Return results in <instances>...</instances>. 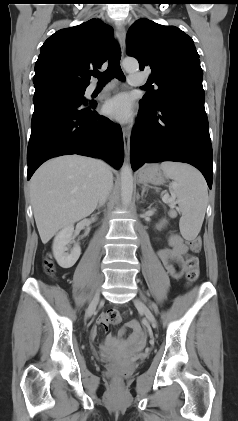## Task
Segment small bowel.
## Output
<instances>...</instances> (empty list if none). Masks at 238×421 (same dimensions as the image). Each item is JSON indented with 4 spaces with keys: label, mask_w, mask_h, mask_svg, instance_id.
I'll list each match as a JSON object with an SVG mask.
<instances>
[{
    "label": "small bowel",
    "mask_w": 238,
    "mask_h": 421,
    "mask_svg": "<svg viewBox=\"0 0 238 421\" xmlns=\"http://www.w3.org/2000/svg\"><path fill=\"white\" fill-rule=\"evenodd\" d=\"M187 252V247L183 243L182 238L178 234H172L169 238V247L160 249L158 256L163 263L166 270L173 276L179 277L182 273L183 257ZM117 315L116 323L111 321V315ZM121 320L120 315L116 309H110L105 313L98 316L96 325L92 330V335L96 336L99 328L107 329L110 324H117ZM127 327L132 330L130 340L135 343H140L142 340L141 327L135 320L130 321ZM115 342L113 337L107 338V343L112 344Z\"/></svg>",
    "instance_id": "1"
}]
</instances>
